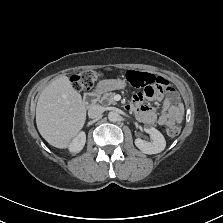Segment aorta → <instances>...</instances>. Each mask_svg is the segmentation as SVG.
I'll return each mask as SVG.
<instances>
[{"label": "aorta", "mask_w": 223, "mask_h": 223, "mask_svg": "<svg viewBox=\"0 0 223 223\" xmlns=\"http://www.w3.org/2000/svg\"><path fill=\"white\" fill-rule=\"evenodd\" d=\"M118 117H119V115H118V113L117 112H115V111H110L109 113H108V119L110 120V121H117L118 120Z\"/></svg>", "instance_id": "aorta-1"}]
</instances>
